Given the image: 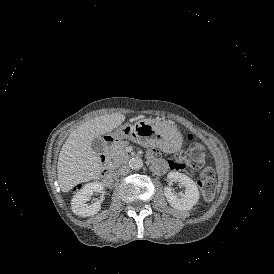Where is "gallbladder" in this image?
I'll list each match as a JSON object with an SVG mask.
<instances>
[{
    "instance_id": "1",
    "label": "gallbladder",
    "mask_w": 274,
    "mask_h": 274,
    "mask_svg": "<svg viewBox=\"0 0 274 274\" xmlns=\"http://www.w3.org/2000/svg\"><path fill=\"white\" fill-rule=\"evenodd\" d=\"M90 145L92 147V149L94 150V152L96 153H102L103 149H104V142L101 136H96L94 137L91 142Z\"/></svg>"
}]
</instances>
